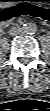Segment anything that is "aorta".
<instances>
[{
	"label": "aorta",
	"mask_w": 50,
	"mask_h": 111,
	"mask_svg": "<svg viewBox=\"0 0 50 111\" xmlns=\"http://www.w3.org/2000/svg\"><path fill=\"white\" fill-rule=\"evenodd\" d=\"M22 30L26 34H34L37 31V26L34 23H26L23 25Z\"/></svg>",
	"instance_id": "obj_1"
}]
</instances>
